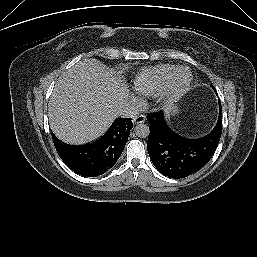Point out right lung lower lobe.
<instances>
[{"instance_id": "right-lung-lower-lobe-1", "label": "right lung lower lobe", "mask_w": 257, "mask_h": 257, "mask_svg": "<svg viewBox=\"0 0 257 257\" xmlns=\"http://www.w3.org/2000/svg\"><path fill=\"white\" fill-rule=\"evenodd\" d=\"M132 127L130 118H117L101 138L83 146L63 143L53 133L52 138L59 156L71 170L81 176L96 177L119 159Z\"/></svg>"}]
</instances>
